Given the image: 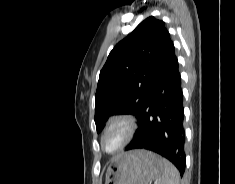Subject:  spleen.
<instances>
[{
	"label": "spleen",
	"mask_w": 235,
	"mask_h": 184,
	"mask_svg": "<svg viewBox=\"0 0 235 184\" xmlns=\"http://www.w3.org/2000/svg\"><path fill=\"white\" fill-rule=\"evenodd\" d=\"M162 172L158 184H179V172L171 162L162 158Z\"/></svg>",
	"instance_id": "1"
}]
</instances>
